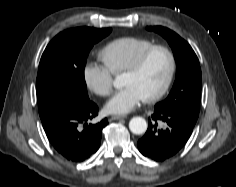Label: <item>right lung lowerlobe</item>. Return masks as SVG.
<instances>
[{"label":"right lung lower lobe","mask_w":236,"mask_h":187,"mask_svg":"<svg viewBox=\"0 0 236 187\" xmlns=\"http://www.w3.org/2000/svg\"><path fill=\"white\" fill-rule=\"evenodd\" d=\"M97 114V105L85 99L61 107L43 127L50 143L61 156L71 162H83L98 150L102 129L108 124L107 119L87 124Z\"/></svg>","instance_id":"1"}]
</instances>
